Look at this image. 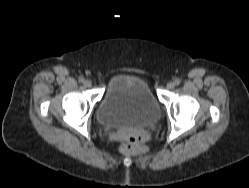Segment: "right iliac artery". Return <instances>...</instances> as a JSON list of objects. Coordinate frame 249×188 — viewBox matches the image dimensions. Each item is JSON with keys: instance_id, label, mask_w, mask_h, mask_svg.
<instances>
[{"instance_id": "1", "label": "right iliac artery", "mask_w": 249, "mask_h": 188, "mask_svg": "<svg viewBox=\"0 0 249 188\" xmlns=\"http://www.w3.org/2000/svg\"><path fill=\"white\" fill-rule=\"evenodd\" d=\"M79 82H80V83H83V82H84V78H83V77H80V78H79Z\"/></svg>"}]
</instances>
